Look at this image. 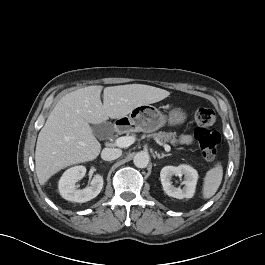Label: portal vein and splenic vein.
<instances>
[{"label":"portal vein and splenic vein","mask_w":265,"mask_h":265,"mask_svg":"<svg viewBox=\"0 0 265 265\" xmlns=\"http://www.w3.org/2000/svg\"><path fill=\"white\" fill-rule=\"evenodd\" d=\"M135 142V137L134 136H123L119 137L115 140V145L119 148H125L129 147ZM165 151H170L171 147L168 144L164 145Z\"/></svg>","instance_id":"obj_1"}]
</instances>
